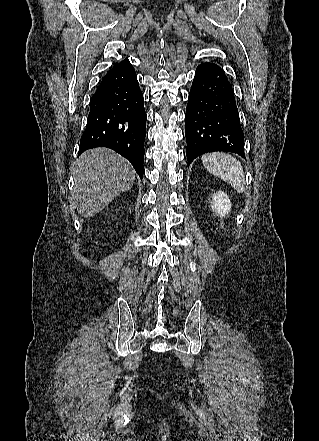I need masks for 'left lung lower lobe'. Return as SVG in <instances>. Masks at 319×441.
Masks as SVG:
<instances>
[{"label": "left lung lower lobe", "mask_w": 319, "mask_h": 441, "mask_svg": "<svg viewBox=\"0 0 319 441\" xmlns=\"http://www.w3.org/2000/svg\"><path fill=\"white\" fill-rule=\"evenodd\" d=\"M185 120L188 163L213 151L233 152L245 157L244 134L234 90L218 65L207 62L197 67Z\"/></svg>", "instance_id": "obj_1"}]
</instances>
